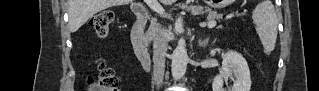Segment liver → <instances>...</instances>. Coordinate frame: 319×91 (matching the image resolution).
Here are the masks:
<instances>
[{"mask_svg": "<svg viewBox=\"0 0 319 91\" xmlns=\"http://www.w3.org/2000/svg\"><path fill=\"white\" fill-rule=\"evenodd\" d=\"M132 0H68L69 27L77 31L92 16L107 8L126 5ZM163 4H173L176 0H161Z\"/></svg>", "mask_w": 319, "mask_h": 91, "instance_id": "obj_1", "label": "liver"}]
</instances>
